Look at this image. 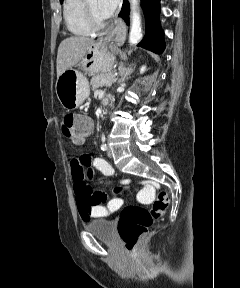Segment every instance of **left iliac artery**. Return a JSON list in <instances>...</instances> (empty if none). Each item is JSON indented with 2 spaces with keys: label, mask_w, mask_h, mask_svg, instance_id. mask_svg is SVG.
Returning <instances> with one entry per match:
<instances>
[{
  "label": "left iliac artery",
  "mask_w": 240,
  "mask_h": 288,
  "mask_svg": "<svg viewBox=\"0 0 240 288\" xmlns=\"http://www.w3.org/2000/svg\"><path fill=\"white\" fill-rule=\"evenodd\" d=\"M104 140V139H103ZM101 149L103 150V151H106L107 150V145L105 144V143H103L102 145H101Z\"/></svg>",
  "instance_id": "1"
}]
</instances>
